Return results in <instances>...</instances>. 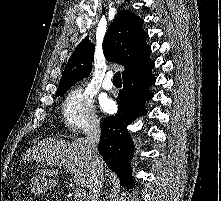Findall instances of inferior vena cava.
<instances>
[{"instance_id":"inferior-vena-cava-1","label":"inferior vena cava","mask_w":221,"mask_h":201,"mask_svg":"<svg viewBox=\"0 0 221 201\" xmlns=\"http://www.w3.org/2000/svg\"><path fill=\"white\" fill-rule=\"evenodd\" d=\"M100 121L93 119L85 131L89 159L91 164V176L88 185V201H98L103 182V167L101 157L97 149L100 140Z\"/></svg>"}]
</instances>
